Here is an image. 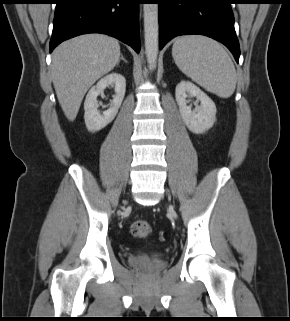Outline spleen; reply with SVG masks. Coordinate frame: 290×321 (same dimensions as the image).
Returning a JSON list of instances; mask_svg holds the SVG:
<instances>
[{"instance_id": "3e777b00", "label": "spleen", "mask_w": 290, "mask_h": 321, "mask_svg": "<svg viewBox=\"0 0 290 321\" xmlns=\"http://www.w3.org/2000/svg\"><path fill=\"white\" fill-rule=\"evenodd\" d=\"M178 68L197 84L220 97H230L236 87V70L225 49L204 36L178 38L172 47Z\"/></svg>"}]
</instances>
